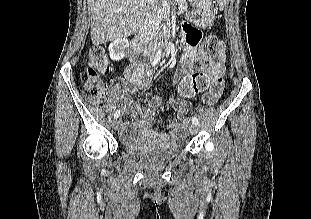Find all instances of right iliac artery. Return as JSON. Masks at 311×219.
I'll return each mask as SVG.
<instances>
[{
    "mask_svg": "<svg viewBox=\"0 0 311 219\" xmlns=\"http://www.w3.org/2000/svg\"><path fill=\"white\" fill-rule=\"evenodd\" d=\"M160 55H161V51H158L156 57L154 58V61L152 62V65H153V66H154L155 64H157L158 61H160ZM119 116H120V111L117 110V111L114 113V118L117 119Z\"/></svg>",
    "mask_w": 311,
    "mask_h": 219,
    "instance_id": "obj_1",
    "label": "right iliac artery"
}]
</instances>
